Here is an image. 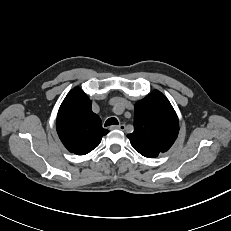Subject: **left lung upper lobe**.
<instances>
[{"instance_id": "left-lung-upper-lobe-1", "label": "left lung upper lobe", "mask_w": 231, "mask_h": 231, "mask_svg": "<svg viewBox=\"0 0 231 231\" xmlns=\"http://www.w3.org/2000/svg\"><path fill=\"white\" fill-rule=\"evenodd\" d=\"M179 132V121L168 99L158 90L138 101L134 109L131 145L141 155L155 158L166 152Z\"/></svg>"}]
</instances>
